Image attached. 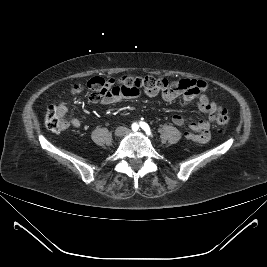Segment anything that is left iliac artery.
I'll list each match as a JSON object with an SVG mask.
<instances>
[{"label": "left iliac artery", "instance_id": "1", "mask_svg": "<svg viewBox=\"0 0 267 267\" xmlns=\"http://www.w3.org/2000/svg\"><path fill=\"white\" fill-rule=\"evenodd\" d=\"M140 126H141V128H142L144 131H146L147 134H150V128H149V126H148L147 123H145V122H140Z\"/></svg>", "mask_w": 267, "mask_h": 267}]
</instances>
